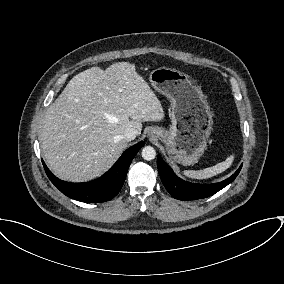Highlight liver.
<instances>
[{"mask_svg":"<svg viewBox=\"0 0 284 284\" xmlns=\"http://www.w3.org/2000/svg\"><path fill=\"white\" fill-rule=\"evenodd\" d=\"M163 118L161 102L135 64L92 67L75 75L47 108L42 152L57 177L89 181L105 173L127 147V128L139 136L142 122Z\"/></svg>","mask_w":284,"mask_h":284,"instance_id":"6515ba94","label":"liver"}]
</instances>
